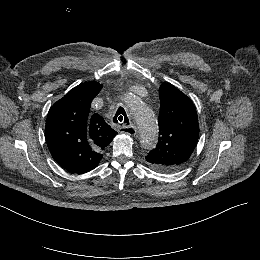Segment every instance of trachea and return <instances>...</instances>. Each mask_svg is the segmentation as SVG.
<instances>
[{
  "instance_id": "obj_1",
  "label": "trachea",
  "mask_w": 260,
  "mask_h": 260,
  "mask_svg": "<svg viewBox=\"0 0 260 260\" xmlns=\"http://www.w3.org/2000/svg\"><path fill=\"white\" fill-rule=\"evenodd\" d=\"M113 122L115 124H120V125L129 124V119H128V116H127L124 108H122V107L118 108L117 112L115 113V116L113 117Z\"/></svg>"
}]
</instances>
